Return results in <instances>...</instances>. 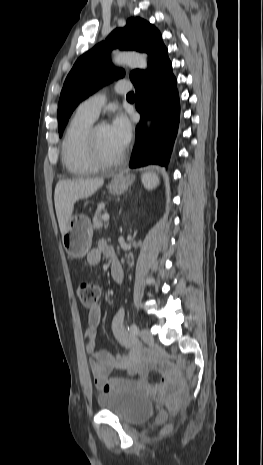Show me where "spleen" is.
<instances>
[{
  "instance_id": "spleen-1",
  "label": "spleen",
  "mask_w": 263,
  "mask_h": 465,
  "mask_svg": "<svg viewBox=\"0 0 263 465\" xmlns=\"http://www.w3.org/2000/svg\"><path fill=\"white\" fill-rule=\"evenodd\" d=\"M142 183L146 189L151 190L158 185V178L155 175L147 173L142 176Z\"/></svg>"
}]
</instances>
